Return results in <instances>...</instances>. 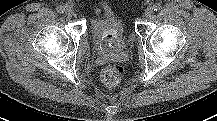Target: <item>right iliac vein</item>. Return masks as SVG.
Here are the masks:
<instances>
[{
    "instance_id": "63e3f726",
    "label": "right iliac vein",
    "mask_w": 217,
    "mask_h": 121,
    "mask_svg": "<svg viewBox=\"0 0 217 121\" xmlns=\"http://www.w3.org/2000/svg\"><path fill=\"white\" fill-rule=\"evenodd\" d=\"M65 15H66V17H67L68 19H71L72 16H73V12H72L71 10H67V11L65 12Z\"/></svg>"
}]
</instances>
